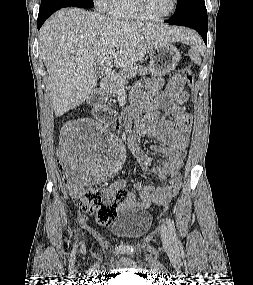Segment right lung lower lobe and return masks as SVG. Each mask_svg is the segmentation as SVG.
<instances>
[{"label": "right lung lower lobe", "instance_id": "obj_1", "mask_svg": "<svg viewBox=\"0 0 253 285\" xmlns=\"http://www.w3.org/2000/svg\"><path fill=\"white\" fill-rule=\"evenodd\" d=\"M62 7L60 6H47V7H43L40 8L39 14H38V29H40V27L42 26V24L44 23V21L55 11H57L58 9H60Z\"/></svg>", "mask_w": 253, "mask_h": 285}]
</instances>
